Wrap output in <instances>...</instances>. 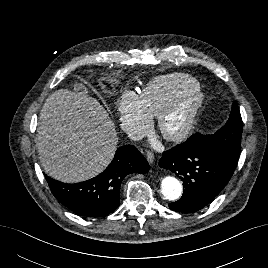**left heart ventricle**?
Instances as JSON below:
<instances>
[{
	"instance_id": "left-heart-ventricle-1",
	"label": "left heart ventricle",
	"mask_w": 268,
	"mask_h": 268,
	"mask_svg": "<svg viewBox=\"0 0 268 268\" xmlns=\"http://www.w3.org/2000/svg\"><path fill=\"white\" fill-rule=\"evenodd\" d=\"M185 117H186L185 110L184 109L178 110L166 121V128L168 130H174L178 128L185 120Z\"/></svg>"
}]
</instances>
